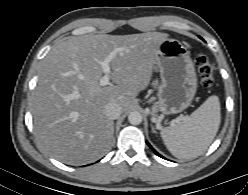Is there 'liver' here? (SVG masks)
I'll return each instance as SVG.
<instances>
[{"label":"liver","instance_id":"6515ba94","mask_svg":"<svg viewBox=\"0 0 248 195\" xmlns=\"http://www.w3.org/2000/svg\"><path fill=\"white\" fill-rule=\"evenodd\" d=\"M161 32L131 35L86 34L55 45L43 59L32 97L35 135L54 158L81 165L102 157L110 148L114 123L104 112L118 103L127 111L151 81ZM110 54V79L101 86L100 65Z\"/></svg>","mask_w":248,"mask_h":195}]
</instances>
